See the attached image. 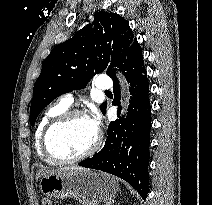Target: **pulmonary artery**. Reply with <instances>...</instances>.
I'll return each mask as SVG.
<instances>
[{
    "label": "pulmonary artery",
    "instance_id": "e3ab8cb5",
    "mask_svg": "<svg viewBox=\"0 0 212 205\" xmlns=\"http://www.w3.org/2000/svg\"><path fill=\"white\" fill-rule=\"evenodd\" d=\"M95 86L99 90L107 91V90L111 89V87H112V81L107 76H99L96 79ZM60 102L63 105H65V106H70L72 104V102H73V94L72 93H66V94H64L61 97Z\"/></svg>",
    "mask_w": 212,
    "mask_h": 205
}]
</instances>
